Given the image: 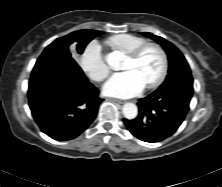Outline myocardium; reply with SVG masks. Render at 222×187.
Returning <instances> with one entry per match:
<instances>
[{
    "label": "myocardium",
    "instance_id": "myocardium-1",
    "mask_svg": "<svg viewBox=\"0 0 222 187\" xmlns=\"http://www.w3.org/2000/svg\"><path fill=\"white\" fill-rule=\"evenodd\" d=\"M148 48L156 49L159 52V54L161 56V60H162L161 70H160L158 76L152 82H150L144 86L146 89H153L163 83V81L165 80L167 73H168L169 57H168L167 51L164 49V47L158 43H155V42H146V43L140 45L139 47H137L131 53L127 54V58H129L132 61H137L141 57V55L144 53V51L147 50Z\"/></svg>",
    "mask_w": 222,
    "mask_h": 187
}]
</instances>
